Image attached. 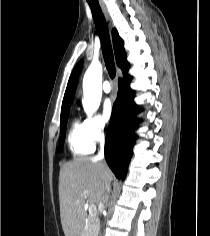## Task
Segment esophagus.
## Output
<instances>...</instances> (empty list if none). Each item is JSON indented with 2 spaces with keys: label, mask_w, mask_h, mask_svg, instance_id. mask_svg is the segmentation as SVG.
I'll use <instances>...</instances> for the list:
<instances>
[{
  "label": "esophagus",
  "mask_w": 210,
  "mask_h": 236,
  "mask_svg": "<svg viewBox=\"0 0 210 236\" xmlns=\"http://www.w3.org/2000/svg\"><path fill=\"white\" fill-rule=\"evenodd\" d=\"M103 11H104V13H105L106 17L108 18L107 12H106V10H105V8H104V7H103Z\"/></svg>",
  "instance_id": "obj_1"
}]
</instances>
